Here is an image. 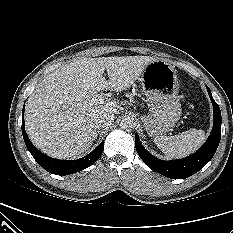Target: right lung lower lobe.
<instances>
[{"label": "right lung lower lobe", "mask_w": 233, "mask_h": 233, "mask_svg": "<svg viewBox=\"0 0 233 233\" xmlns=\"http://www.w3.org/2000/svg\"><path fill=\"white\" fill-rule=\"evenodd\" d=\"M24 108L22 110V133L23 138L25 141V144L27 146V149L31 153V155L34 157L36 162L43 167L46 171L56 174V175H69L75 172H79L81 170L86 169L87 167L91 166L102 154L104 149V141H102L97 148H95L94 151L89 153L83 158L77 159V160H57L53 159L43 153H41L39 150H37L33 144L31 143L28 135L26 134L25 128H24Z\"/></svg>", "instance_id": "right-lung-lower-lobe-1"}]
</instances>
